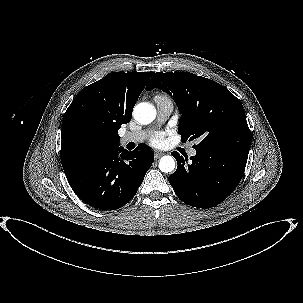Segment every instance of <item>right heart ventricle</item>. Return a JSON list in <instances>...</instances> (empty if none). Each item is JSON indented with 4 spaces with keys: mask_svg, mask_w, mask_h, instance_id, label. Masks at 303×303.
Wrapping results in <instances>:
<instances>
[{
    "mask_svg": "<svg viewBox=\"0 0 303 303\" xmlns=\"http://www.w3.org/2000/svg\"><path fill=\"white\" fill-rule=\"evenodd\" d=\"M157 97H160V98H164V99H167L168 97L164 96V95H157Z\"/></svg>",
    "mask_w": 303,
    "mask_h": 303,
    "instance_id": "e07e8e85",
    "label": "right heart ventricle"
}]
</instances>
